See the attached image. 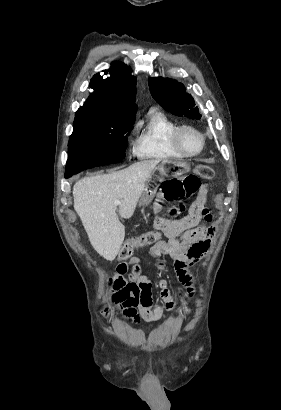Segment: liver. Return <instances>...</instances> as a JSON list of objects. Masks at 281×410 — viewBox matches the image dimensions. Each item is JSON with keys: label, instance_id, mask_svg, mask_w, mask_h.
<instances>
[{"label": "liver", "instance_id": "6515ba94", "mask_svg": "<svg viewBox=\"0 0 281 410\" xmlns=\"http://www.w3.org/2000/svg\"><path fill=\"white\" fill-rule=\"evenodd\" d=\"M160 160H144L120 171L85 177L73 187L74 209L95 251L108 261L117 256L125 227L116 213L130 218L145 189V182ZM115 200L121 203L115 206Z\"/></svg>", "mask_w": 281, "mask_h": 410}]
</instances>
